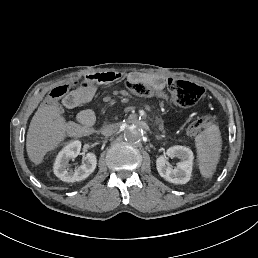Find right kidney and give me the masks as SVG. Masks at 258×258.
I'll return each instance as SVG.
<instances>
[{
	"instance_id": "obj_1",
	"label": "right kidney",
	"mask_w": 258,
	"mask_h": 258,
	"mask_svg": "<svg viewBox=\"0 0 258 258\" xmlns=\"http://www.w3.org/2000/svg\"><path fill=\"white\" fill-rule=\"evenodd\" d=\"M81 150V142L75 140L67 144L57 155L53 165L54 174L65 182H76L86 179L96 168L97 159L94 153H87L86 163L75 170L69 169L68 163L76 158Z\"/></svg>"
}]
</instances>
